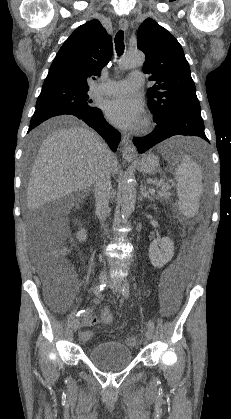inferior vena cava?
<instances>
[{"label":"inferior vena cava","mask_w":231,"mask_h":419,"mask_svg":"<svg viewBox=\"0 0 231 419\" xmlns=\"http://www.w3.org/2000/svg\"><path fill=\"white\" fill-rule=\"evenodd\" d=\"M112 158H114V155L108 150L105 159L100 164L94 184L96 212L102 225L109 211L108 205L111 194L110 160Z\"/></svg>","instance_id":"602c4592"}]
</instances>
